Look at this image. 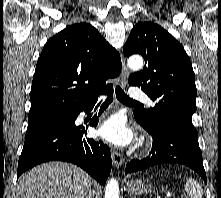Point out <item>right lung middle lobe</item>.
<instances>
[{"label": "right lung middle lobe", "instance_id": "1", "mask_svg": "<svg viewBox=\"0 0 221 198\" xmlns=\"http://www.w3.org/2000/svg\"><path fill=\"white\" fill-rule=\"evenodd\" d=\"M74 116L75 114H62V115L48 117V118L38 120L35 122H30L28 124L26 137L34 134L37 131H40L42 129H45L54 125L68 124L73 120Z\"/></svg>", "mask_w": 221, "mask_h": 198}]
</instances>
